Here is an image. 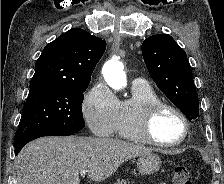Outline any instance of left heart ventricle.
I'll list each match as a JSON object with an SVG mask.
<instances>
[{
	"instance_id": "b2bd125f",
	"label": "left heart ventricle",
	"mask_w": 224,
	"mask_h": 184,
	"mask_svg": "<svg viewBox=\"0 0 224 184\" xmlns=\"http://www.w3.org/2000/svg\"><path fill=\"white\" fill-rule=\"evenodd\" d=\"M182 121L171 111L161 112L153 124V134L162 142L177 141L183 135Z\"/></svg>"
}]
</instances>
